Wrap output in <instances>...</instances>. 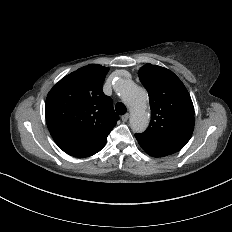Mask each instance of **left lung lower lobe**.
<instances>
[{
  "mask_svg": "<svg viewBox=\"0 0 232 232\" xmlns=\"http://www.w3.org/2000/svg\"><path fill=\"white\" fill-rule=\"evenodd\" d=\"M136 139L138 140V143L140 144V146L143 148V150L149 154L150 156L153 157H164L173 153H176L177 150L169 147V146H165L159 143H154L151 141H147L144 139H141L139 137H137L135 135Z\"/></svg>",
  "mask_w": 232,
  "mask_h": 232,
  "instance_id": "1",
  "label": "left lung lower lobe"
}]
</instances>
